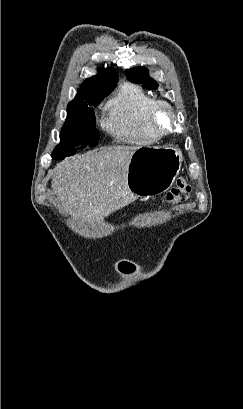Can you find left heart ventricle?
Returning a JSON list of instances; mask_svg holds the SVG:
<instances>
[{
  "label": "left heart ventricle",
  "instance_id": "obj_1",
  "mask_svg": "<svg viewBox=\"0 0 243 409\" xmlns=\"http://www.w3.org/2000/svg\"><path fill=\"white\" fill-rule=\"evenodd\" d=\"M158 123L162 129H168L171 126V118L166 111L159 114Z\"/></svg>",
  "mask_w": 243,
  "mask_h": 409
}]
</instances>
